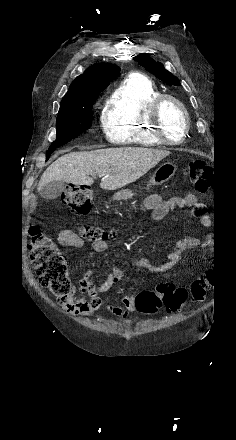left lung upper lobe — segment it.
I'll use <instances>...</instances> for the list:
<instances>
[{
    "label": "left lung upper lobe",
    "mask_w": 236,
    "mask_h": 440,
    "mask_svg": "<svg viewBox=\"0 0 236 440\" xmlns=\"http://www.w3.org/2000/svg\"><path fill=\"white\" fill-rule=\"evenodd\" d=\"M134 60L138 61L141 66L145 67L149 72L153 73L158 79L171 85L180 86V82L177 77L166 70L163 64L155 62L146 54H139L138 56L134 57Z\"/></svg>",
    "instance_id": "obj_1"
}]
</instances>
